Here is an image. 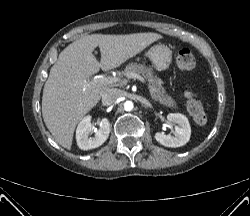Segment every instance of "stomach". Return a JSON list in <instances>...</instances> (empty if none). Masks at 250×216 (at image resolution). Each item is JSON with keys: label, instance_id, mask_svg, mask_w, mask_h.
<instances>
[{"label": "stomach", "instance_id": "stomach-1", "mask_svg": "<svg viewBox=\"0 0 250 216\" xmlns=\"http://www.w3.org/2000/svg\"><path fill=\"white\" fill-rule=\"evenodd\" d=\"M146 56L160 71L168 70L172 62V51L164 45L151 47L146 53Z\"/></svg>", "mask_w": 250, "mask_h": 216}]
</instances>
